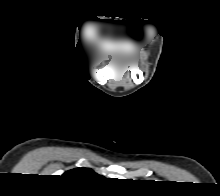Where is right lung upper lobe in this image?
<instances>
[{
	"label": "right lung upper lobe",
	"mask_w": 220,
	"mask_h": 196,
	"mask_svg": "<svg viewBox=\"0 0 220 196\" xmlns=\"http://www.w3.org/2000/svg\"><path fill=\"white\" fill-rule=\"evenodd\" d=\"M63 176L71 177L79 180H91L95 178H102V176L96 174L90 168H76L70 171H67Z\"/></svg>",
	"instance_id": "right-lung-upper-lobe-1"
}]
</instances>
